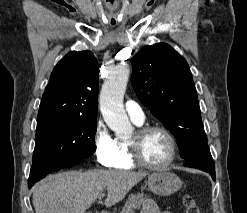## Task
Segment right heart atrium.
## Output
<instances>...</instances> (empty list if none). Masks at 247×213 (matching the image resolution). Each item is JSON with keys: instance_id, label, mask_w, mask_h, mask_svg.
<instances>
[{"instance_id": "obj_1", "label": "right heart atrium", "mask_w": 247, "mask_h": 213, "mask_svg": "<svg viewBox=\"0 0 247 213\" xmlns=\"http://www.w3.org/2000/svg\"><path fill=\"white\" fill-rule=\"evenodd\" d=\"M92 141L97 162L104 167H113L119 155L117 140L103 121L97 122Z\"/></svg>"}]
</instances>
